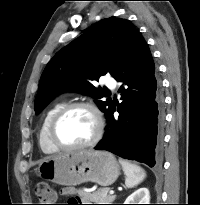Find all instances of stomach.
Here are the masks:
<instances>
[{
    "mask_svg": "<svg viewBox=\"0 0 200 205\" xmlns=\"http://www.w3.org/2000/svg\"><path fill=\"white\" fill-rule=\"evenodd\" d=\"M38 172L46 180L63 186H76L87 181L109 186L118 178L120 166L109 152L83 150L44 159Z\"/></svg>",
    "mask_w": 200,
    "mask_h": 205,
    "instance_id": "1",
    "label": "stomach"
}]
</instances>
